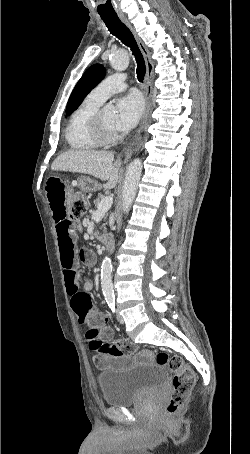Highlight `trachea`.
I'll list each match as a JSON object with an SVG mask.
<instances>
[{
    "label": "trachea",
    "instance_id": "3493384b",
    "mask_svg": "<svg viewBox=\"0 0 250 454\" xmlns=\"http://www.w3.org/2000/svg\"><path fill=\"white\" fill-rule=\"evenodd\" d=\"M101 19L106 24L110 33L120 39L123 44L131 49L137 63V78L140 82H142L146 73V64L134 35L130 29L122 23L117 15L101 16Z\"/></svg>",
    "mask_w": 250,
    "mask_h": 454
}]
</instances>
